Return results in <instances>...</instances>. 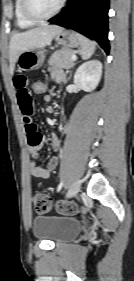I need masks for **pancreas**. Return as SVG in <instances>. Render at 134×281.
Returning a JSON list of instances; mask_svg holds the SVG:
<instances>
[{
    "instance_id": "obj_1",
    "label": "pancreas",
    "mask_w": 134,
    "mask_h": 281,
    "mask_svg": "<svg viewBox=\"0 0 134 281\" xmlns=\"http://www.w3.org/2000/svg\"><path fill=\"white\" fill-rule=\"evenodd\" d=\"M72 55H74L73 50L69 48H61L52 54L49 59V64L59 69H70L74 66V61L71 59ZM50 71L54 73L52 68H50Z\"/></svg>"
}]
</instances>
